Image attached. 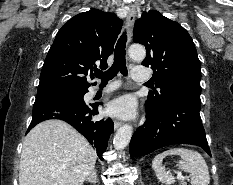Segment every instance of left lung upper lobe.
<instances>
[{
	"instance_id": "1",
	"label": "left lung upper lobe",
	"mask_w": 233,
	"mask_h": 185,
	"mask_svg": "<svg viewBox=\"0 0 233 185\" xmlns=\"http://www.w3.org/2000/svg\"><path fill=\"white\" fill-rule=\"evenodd\" d=\"M133 40L146 47L142 65L154 70L153 83L160 90L150 91L146 108L161 110L184 91H201L200 61L188 32L160 12H143L135 22Z\"/></svg>"
}]
</instances>
